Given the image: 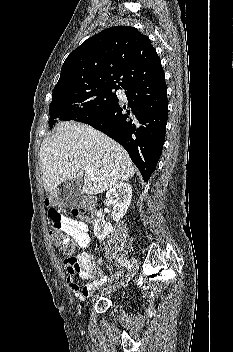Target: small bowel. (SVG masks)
<instances>
[{
    "mask_svg": "<svg viewBox=\"0 0 233 352\" xmlns=\"http://www.w3.org/2000/svg\"><path fill=\"white\" fill-rule=\"evenodd\" d=\"M48 218L54 228L72 238L79 247L88 248L91 245L89 227L86 223L62 216L54 208L48 209ZM102 263L101 259L96 260L87 251L79 253L77 257L64 259L63 264L67 270L66 283L75 297L84 300L91 296L98 287L119 276L120 273L104 276L97 267V264ZM77 279H88L89 282L81 288Z\"/></svg>",
    "mask_w": 233,
    "mask_h": 352,
    "instance_id": "1",
    "label": "small bowel"
}]
</instances>
